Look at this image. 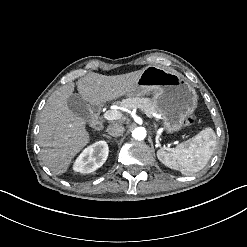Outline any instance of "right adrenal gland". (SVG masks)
<instances>
[{
  "instance_id": "1",
  "label": "right adrenal gland",
  "mask_w": 247,
  "mask_h": 247,
  "mask_svg": "<svg viewBox=\"0 0 247 247\" xmlns=\"http://www.w3.org/2000/svg\"><path fill=\"white\" fill-rule=\"evenodd\" d=\"M103 136H105L107 139H111V136L110 135L103 134Z\"/></svg>"
}]
</instances>
